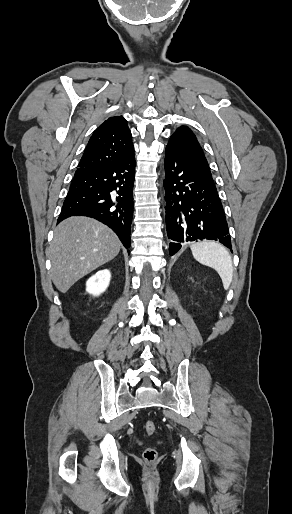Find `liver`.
Listing matches in <instances>:
<instances>
[{
	"label": "liver",
	"instance_id": "obj_1",
	"mask_svg": "<svg viewBox=\"0 0 292 514\" xmlns=\"http://www.w3.org/2000/svg\"><path fill=\"white\" fill-rule=\"evenodd\" d=\"M120 246L116 234L93 218L64 220L55 228L48 250L53 284L65 294L80 278L113 260Z\"/></svg>",
	"mask_w": 292,
	"mask_h": 514
}]
</instances>
